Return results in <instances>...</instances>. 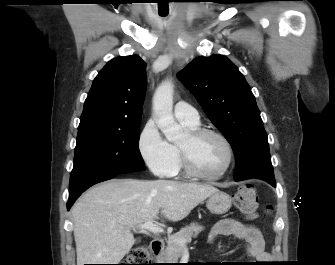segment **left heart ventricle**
I'll use <instances>...</instances> for the list:
<instances>
[{
    "label": "left heart ventricle",
    "mask_w": 335,
    "mask_h": 265,
    "mask_svg": "<svg viewBox=\"0 0 335 265\" xmlns=\"http://www.w3.org/2000/svg\"><path fill=\"white\" fill-rule=\"evenodd\" d=\"M179 145L188 150L194 166L204 174H216L226 163V148L214 136H207L198 141H192L187 134L179 142Z\"/></svg>",
    "instance_id": "1"
}]
</instances>
